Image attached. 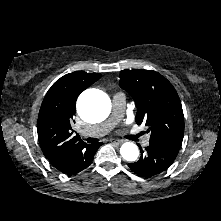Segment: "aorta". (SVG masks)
I'll use <instances>...</instances> for the list:
<instances>
[{"label": "aorta", "mask_w": 221, "mask_h": 221, "mask_svg": "<svg viewBox=\"0 0 221 221\" xmlns=\"http://www.w3.org/2000/svg\"><path fill=\"white\" fill-rule=\"evenodd\" d=\"M110 110L108 98L97 92L82 94L77 102V111L82 119L87 122H96L106 118ZM121 156L129 162L135 161L139 156L136 144L126 142L120 148Z\"/></svg>", "instance_id": "aorta-1"}]
</instances>
